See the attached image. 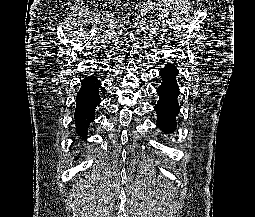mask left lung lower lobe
I'll list each match as a JSON object with an SVG mask.
<instances>
[{"label":"left lung lower lobe","mask_w":255,"mask_h":217,"mask_svg":"<svg viewBox=\"0 0 255 217\" xmlns=\"http://www.w3.org/2000/svg\"><path fill=\"white\" fill-rule=\"evenodd\" d=\"M178 73L179 70L172 63H167L159 72L163 81L157 89L159 101L155 105V111L158 117L157 125L165 133H172L176 128V116L179 113V89L176 79Z\"/></svg>","instance_id":"obj_1"}]
</instances>
